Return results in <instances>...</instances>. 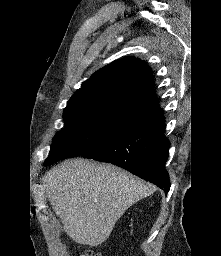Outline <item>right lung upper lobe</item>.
I'll list each match as a JSON object with an SVG mask.
<instances>
[{
	"label": "right lung upper lobe",
	"mask_w": 221,
	"mask_h": 256,
	"mask_svg": "<svg viewBox=\"0 0 221 256\" xmlns=\"http://www.w3.org/2000/svg\"><path fill=\"white\" fill-rule=\"evenodd\" d=\"M98 107L144 115L145 122L162 115L149 66L138 58L125 57L101 68L82 83L64 112Z\"/></svg>",
	"instance_id": "1"
}]
</instances>
